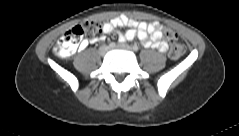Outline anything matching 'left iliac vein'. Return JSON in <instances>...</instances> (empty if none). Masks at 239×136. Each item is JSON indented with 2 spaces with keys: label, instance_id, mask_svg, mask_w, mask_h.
<instances>
[{
  "label": "left iliac vein",
  "instance_id": "4c4485c4",
  "mask_svg": "<svg viewBox=\"0 0 239 136\" xmlns=\"http://www.w3.org/2000/svg\"><path fill=\"white\" fill-rule=\"evenodd\" d=\"M115 48H123V49H126V50H131V47L129 45H126V44H119Z\"/></svg>",
  "mask_w": 239,
  "mask_h": 136
}]
</instances>
